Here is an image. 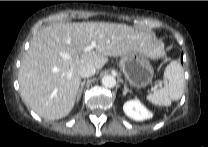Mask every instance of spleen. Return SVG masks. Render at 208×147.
<instances>
[{"instance_id": "1", "label": "spleen", "mask_w": 208, "mask_h": 147, "mask_svg": "<svg viewBox=\"0 0 208 147\" xmlns=\"http://www.w3.org/2000/svg\"><path fill=\"white\" fill-rule=\"evenodd\" d=\"M163 78L166 85L148 95L147 100L156 106L167 107L172 101L179 100L184 92V74L180 63L171 61L165 68Z\"/></svg>"}]
</instances>
